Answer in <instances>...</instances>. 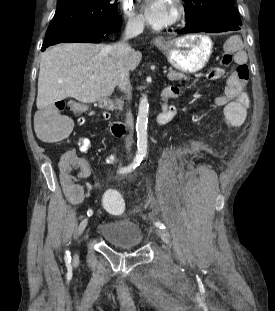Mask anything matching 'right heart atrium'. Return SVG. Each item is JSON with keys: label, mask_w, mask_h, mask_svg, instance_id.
I'll return each mask as SVG.
<instances>
[{"label": "right heart atrium", "mask_w": 275, "mask_h": 311, "mask_svg": "<svg viewBox=\"0 0 275 311\" xmlns=\"http://www.w3.org/2000/svg\"><path fill=\"white\" fill-rule=\"evenodd\" d=\"M124 16L126 25L133 30L140 31L143 28L144 21L140 14H138L130 0H122Z\"/></svg>", "instance_id": "1"}]
</instances>
